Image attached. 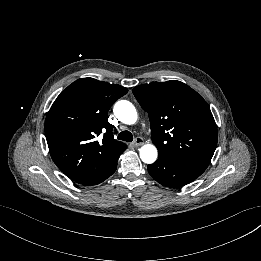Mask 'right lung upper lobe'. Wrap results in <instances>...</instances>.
Here are the masks:
<instances>
[{"mask_svg":"<svg viewBox=\"0 0 261 261\" xmlns=\"http://www.w3.org/2000/svg\"><path fill=\"white\" fill-rule=\"evenodd\" d=\"M127 92L120 85L82 78L53 103L45 135L53 161L72 180L83 182L99 175L126 150V144L113 137L108 110Z\"/></svg>","mask_w":261,"mask_h":261,"instance_id":"cb5924a9","label":"right lung upper lobe"}]
</instances>
